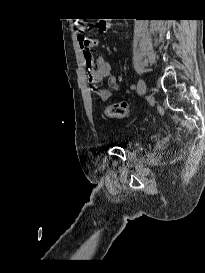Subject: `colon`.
Here are the masks:
<instances>
[{"instance_id":"1","label":"colon","mask_w":205,"mask_h":273,"mask_svg":"<svg viewBox=\"0 0 205 273\" xmlns=\"http://www.w3.org/2000/svg\"><path fill=\"white\" fill-rule=\"evenodd\" d=\"M91 29V24L83 20L75 21V30L79 35H84ZM130 111L126 102H116L106 108V115L109 118H124L128 116Z\"/></svg>"}]
</instances>
